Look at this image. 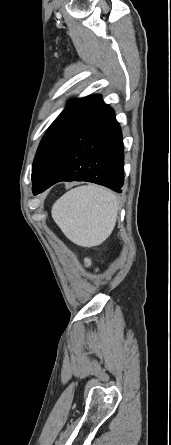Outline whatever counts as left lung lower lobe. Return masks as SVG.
I'll return each mask as SVG.
<instances>
[{"instance_id": "left-lung-lower-lobe-1", "label": "left lung lower lobe", "mask_w": 171, "mask_h": 445, "mask_svg": "<svg viewBox=\"0 0 171 445\" xmlns=\"http://www.w3.org/2000/svg\"><path fill=\"white\" fill-rule=\"evenodd\" d=\"M122 133L103 101L60 139L32 179L33 194L60 181H88L121 192L124 182Z\"/></svg>"}]
</instances>
